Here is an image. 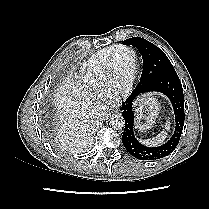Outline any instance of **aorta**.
Instances as JSON below:
<instances>
[{
	"label": "aorta",
	"instance_id": "762f6f07",
	"mask_svg": "<svg viewBox=\"0 0 209 209\" xmlns=\"http://www.w3.org/2000/svg\"><path fill=\"white\" fill-rule=\"evenodd\" d=\"M109 124L114 128V129H122L125 124V120L121 114H115L112 115Z\"/></svg>",
	"mask_w": 209,
	"mask_h": 209
}]
</instances>
